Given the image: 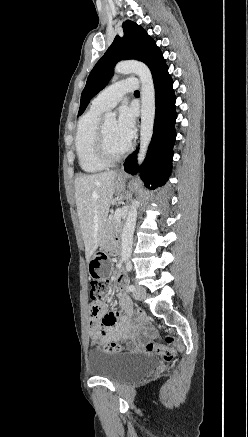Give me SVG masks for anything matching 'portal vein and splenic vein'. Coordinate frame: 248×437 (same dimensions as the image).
<instances>
[{
  "label": "portal vein and splenic vein",
  "instance_id": "18ae733b",
  "mask_svg": "<svg viewBox=\"0 0 248 437\" xmlns=\"http://www.w3.org/2000/svg\"><path fill=\"white\" fill-rule=\"evenodd\" d=\"M120 217H121V209H117L115 212V218L117 221H120Z\"/></svg>",
  "mask_w": 248,
  "mask_h": 437
}]
</instances>
